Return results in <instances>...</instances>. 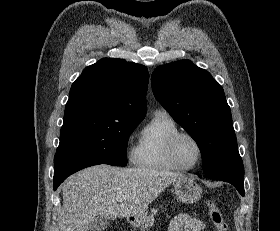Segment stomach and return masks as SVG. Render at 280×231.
I'll return each mask as SVG.
<instances>
[{
  "instance_id": "1",
  "label": "stomach",
  "mask_w": 280,
  "mask_h": 231,
  "mask_svg": "<svg viewBox=\"0 0 280 231\" xmlns=\"http://www.w3.org/2000/svg\"><path fill=\"white\" fill-rule=\"evenodd\" d=\"M173 185L177 199H179V201H183V203H195V201H199L202 195V187L198 185L194 177H189V175L177 177V179L173 181ZM129 221L132 223V225H136V227L143 223V221H140V219H135V217H129Z\"/></svg>"
}]
</instances>
